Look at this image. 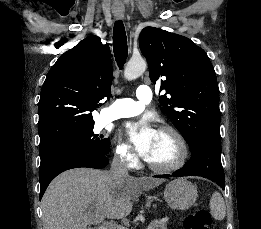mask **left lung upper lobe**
Wrapping results in <instances>:
<instances>
[{
    "label": "left lung upper lobe",
    "instance_id": "1",
    "mask_svg": "<svg viewBox=\"0 0 261 229\" xmlns=\"http://www.w3.org/2000/svg\"><path fill=\"white\" fill-rule=\"evenodd\" d=\"M139 44L151 81L166 77L161 110L190 149L203 139L220 141L219 89L206 52L184 36L154 27L142 30Z\"/></svg>",
    "mask_w": 261,
    "mask_h": 229
}]
</instances>
